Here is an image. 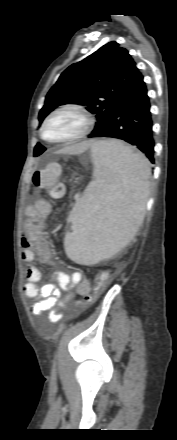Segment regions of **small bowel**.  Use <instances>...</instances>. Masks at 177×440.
I'll return each instance as SVG.
<instances>
[{"mask_svg":"<svg viewBox=\"0 0 177 440\" xmlns=\"http://www.w3.org/2000/svg\"><path fill=\"white\" fill-rule=\"evenodd\" d=\"M52 213V205L45 200H37L27 206L26 215L28 220L25 226V234L21 242V258L25 263V273L27 282L23 286V294L34 303L30 311L34 316H38L45 311H50L49 318L57 322L62 318V313L55 310V307L63 306L73 299L75 295L86 296L90 293V283L83 278L81 272L75 271L70 274L56 269L50 279L57 284L49 282L39 285L41 273L33 265L37 257L38 260L46 265L54 266L55 262L49 248L48 242L42 235L44 219ZM62 291L66 292L62 296Z\"/></svg>","mask_w":177,"mask_h":440,"instance_id":"c3829d8e","label":"small bowel"}]
</instances>
